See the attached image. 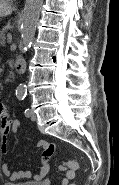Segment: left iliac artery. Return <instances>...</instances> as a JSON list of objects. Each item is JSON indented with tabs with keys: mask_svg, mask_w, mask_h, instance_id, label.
Wrapping results in <instances>:
<instances>
[{
	"mask_svg": "<svg viewBox=\"0 0 119 185\" xmlns=\"http://www.w3.org/2000/svg\"><path fill=\"white\" fill-rule=\"evenodd\" d=\"M18 98H19V100H23L25 98V96L18 97ZM29 112H30V110L28 108L25 109V111H24L25 116L29 117Z\"/></svg>",
	"mask_w": 119,
	"mask_h": 185,
	"instance_id": "left-iliac-artery-1",
	"label": "left iliac artery"
}]
</instances>
